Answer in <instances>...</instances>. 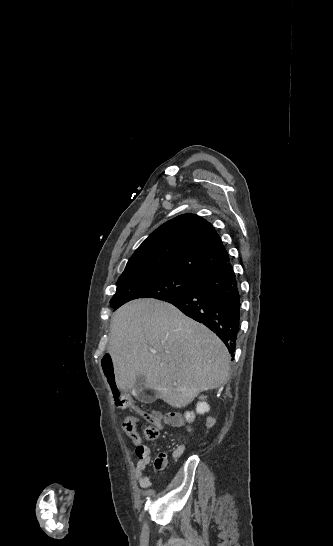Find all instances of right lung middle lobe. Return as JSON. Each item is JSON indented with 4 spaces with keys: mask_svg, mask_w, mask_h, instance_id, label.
<instances>
[{
    "mask_svg": "<svg viewBox=\"0 0 333 546\" xmlns=\"http://www.w3.org/2000/svg\"><path fill=\"white\" fill-rule=\"evenodd\" d=\"M199 278L183 276L172 272H146L121 275L117 290L110 301L113 309L136 298H167L193 289Z\"/></svg>",
    "mask_w": 333,
    "mask_h": 546,
    "instance_id": "obj_1",
    "label": "right lung middle lobe"
}]
</instances>
